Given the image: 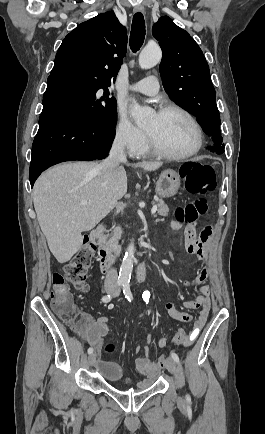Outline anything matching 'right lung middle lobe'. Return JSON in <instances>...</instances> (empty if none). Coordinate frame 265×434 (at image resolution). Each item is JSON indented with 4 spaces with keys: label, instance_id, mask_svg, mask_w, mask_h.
Here are the masks:
<instances>
[{
    "label": "right lung middle lobe",
    "instance_id": "right-lung-middle-lobe-1",
    "mask_svg": "<svg viewBox=\"0 0 265 434\" xmlns=\"http://www.w3.org/2000/svg\"><path fill=\"white\" fill-rule=\"evenodd\" d=\"M110 82L84 75L49 77L43 104L64 105L78 118L96 126L114 129L117 103L109 98Z\"/></svg>",
    "mask_w": 265,
    "mask_h": 434
}]
</instances>
